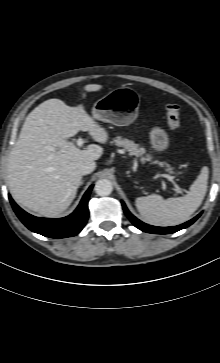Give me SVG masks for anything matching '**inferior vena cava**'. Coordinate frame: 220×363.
I'll return each mask as SVG.
<instances>
[{"label":"inferior vena cava","instance_id":"1","mask_svg":"<svg viewBox=\"0 0 220 363\" xmlns=\"http://www.w3.org/2000/svg\"><path fill=\"white\" fill-rule=\"evenodd\" d=\"M96 168V164L94 161H85L80 166V172L82 175L90 174Z\"/></svg>","mask_w":220,"mask_h":363}]
</instances>
